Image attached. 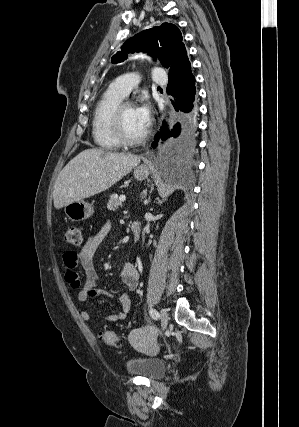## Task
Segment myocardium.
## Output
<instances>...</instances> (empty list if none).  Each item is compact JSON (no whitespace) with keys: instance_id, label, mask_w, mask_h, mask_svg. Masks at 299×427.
Listing matches in <instances>:
<instances>
[{"instance_id":"obj_1","label":"myocardium","mask_w":299,"mask_h":427,"mask_svg":"<svg viewBox=\"0 0 299 427\" xmlns=\"http://www.w3.org/2000/svg\"><path fill=\"white\" fill-rule=\"evenodd\" d=\"M126 107H134L130 101H121L113 110L111 114V130L113 136L120 145L134 146L142 143L148 136V130L146 129L140 136L135 138L128 137L123 129L122 115Z\"/></svg>"}]
</instances>
